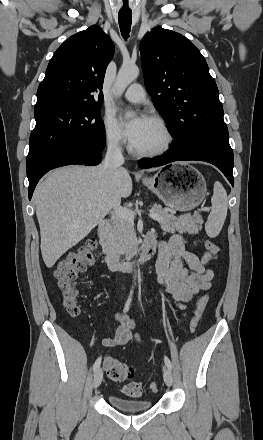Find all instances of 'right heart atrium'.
<instances>
[{
	"label": "right heart atrium",
	"mask_w": 263,
	"mask_h": 440,
	"mask_svg": "<svg viewBox=\"0 0 263 440\" xmlns=\"http://www.w3.org/2000/svg\"><path fill=\"white\" fill-rule=\"evenodd\" d=\"M103 134L106 144L111 148H121L125 143L123 134L112 116L105 117Z\"/></svg>",
	"instance_id": "1"
}]
</instances>
